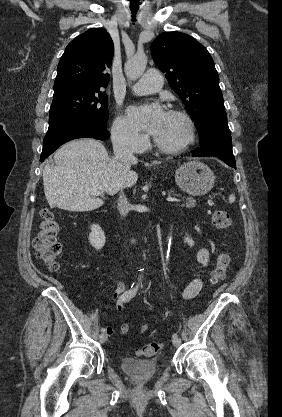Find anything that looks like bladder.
<instances>
[{
    "mask_svg": "<svg viewBox=\"0 0 282 417\" xmlns=\"http://www.w3.org/2000/svg\"><path fill=\"white\" fill-rule=\"evenodd\" d=\"M120 369L133 381L146 383L159 371L156 359H143L134 356H123L120 360Z\"/></svg>",
    "mask_w": 282,
    "mask_h": 417,
    "instance_id": "obj_1",
    "label": "bladder"
}]
</instances>
